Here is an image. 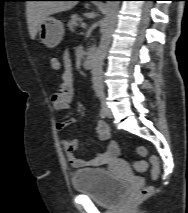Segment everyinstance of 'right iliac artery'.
<instances>
[{
    "instance_id": "82829eb1",
    "label": "right iliac artery",
    "mask_w": 188,
    "mask_h": 213,
    "mask_svg": "<svg viewBox=\"0 0 188 213\" xmlns=\"http://www.w3.org/2000/svg\"><path fill=\"white\" fill-rule=\"evenodd\" d=\"M100 116L101 118H105L107 116L106 103L104 100L101 101Z\"/></svg>"
}]
</instances>
